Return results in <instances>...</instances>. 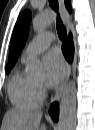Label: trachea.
Here are the masks:
<instances>
[{"instance_id":"obj_1","label":"trachea","mask_w":95,"mask_h":130,"mask_svg":"<svg viewBox=\"0 0 95 130\" xmlns=\"http://www.w3.org/2000/svg\"><path fill=\"white\" fill-rule=\"evenodd\" d=\"M49 4L54 11H58V0H49ZM56 29L59 38L64 41L66 39L67 33L59 15L57 16Z\"/></svg>"}]
</instances>
